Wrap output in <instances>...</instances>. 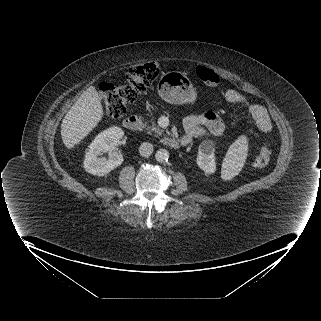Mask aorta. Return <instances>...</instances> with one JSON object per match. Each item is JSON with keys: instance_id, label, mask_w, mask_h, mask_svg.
Segmentation results:
<instances>
[{"instance_id": "aorta-1", "label": "aorta", "mask_w": 321, "mask_h": 321, "mask_svg": "<svg viewBox=\"0 0 321 321\" xmlns=\"http://www.w3.org/2000/svg\"><path fill=\"white\" fill-rule=\"evenodd\" d=\"M155 158L158 162L164 163L169 159V152L166 149H159L155 153Z\"/></svg>"}]
</instances>
